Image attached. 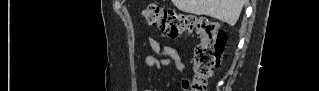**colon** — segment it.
Wrapping results in <instances>:
<instances>
[{"mask_svg": "<svg viewBox=\"0 0 319 91\" xmlns=\"http://www.w3.org/2000/svg\"><path fill=\"white\" fill-rule=\"evenodd\" d=\"M142 19L150 26L157 27L169 37L197 33L200 44L195 48L193 74L183 81V89L207 91L214 70L219 66L227 35L220 24L208 17L176 12L150 3L141 11Z\"/></svg>", "mask_w": 319, "mask_h": 91, "instance_id": "colon-1", "label": "colon"}]
</instances>
